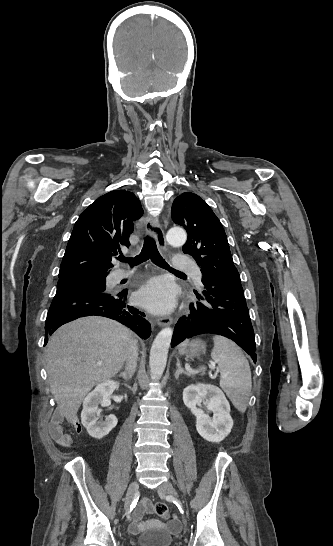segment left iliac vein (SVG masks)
I'll return each instance as SVG.
<instances>
[{"label": "left iliac vein", "mask_w": 333, "mask_h": 546, "mask_svg": "<svg viewBox=\"0 0 333 546\" xmlns=\"http://www.w3.org/2000/svg\"><path fill=\"white\" fill-rule=\"evenodd\" d=\"M158 493L159 494H169V495L175 497L176 499H178V494H177L176 490L174 489L173 485L170 482L163 483L158 488Z\"/></svg>", "instance_id": "4c4485c4"}]
</instances>
